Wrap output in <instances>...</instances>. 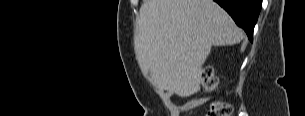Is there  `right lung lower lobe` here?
<instances>
[{"label":"right lung lower lobe","mask_w":305,"mask_h":116,"mask_svg":"<svg viewBox=\"0 0 305 116\" xmlns=\"http://www.w3.org/2000/svg\"><path fill=\"white\" fill-rule=\"evenodd\" d=\"M224 8L236 24L243 28L250 41L257 22L262 0H214Z\"/></svg>","instance_id":"1"}]
</instances>
